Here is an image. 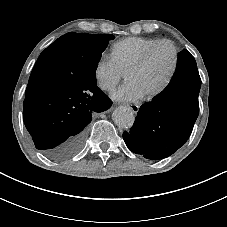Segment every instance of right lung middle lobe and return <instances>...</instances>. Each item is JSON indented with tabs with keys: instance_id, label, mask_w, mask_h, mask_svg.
I'll return each mask as SVG.
<instances>
[{
	"instance_id": "1",
	"label": "right lung middle lobe",
	"mask_w": 227,
	"mask_h": 227,
	"mask_svg": "<svg viewBox=\"0 0 227 227\" xmlns=\"http://www.w3.org/2000/svg\"><path fill=\"white\" fill-rule=\"evenodd\" d=\"M114 38L111 34L75 32L61 36L40 54L28 84L41 88L53 83L69 89L96 84L97 64Z\"/></svg>"
}]
</instances>
